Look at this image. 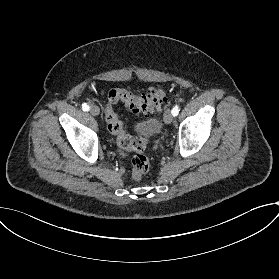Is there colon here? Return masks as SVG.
I'll list each match as a JSON object with an SVG mask.
<instances>
[{
  "label": "colon",
  "mask_w": 279,
  "mask_h": 279,
  "mask_svg": "<svg viewBox=\"0 0 279 279\" xmlns=\"http://www.w3.org/2000/svg\"><path fill=\"white\" fill-rule=\"evenodd\" d=\"M166 100V92L161 88H150L143 93H134L126 88H113L108 92L104 117L108 122L109 131L116 137L117 144L122 150L142 152L146 149L147 139L132 137L125 131L114 105L122 102L132 113L150 115L160 110ZM149 168L150 161L147 157L137 155L132 159V175L135 179L142 178Z\"/></svg>",
  "instance_id": "colon-1"
}]
</instances>
